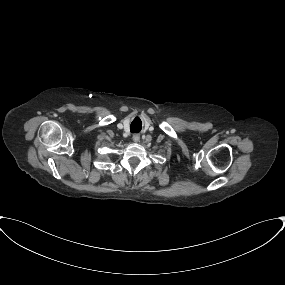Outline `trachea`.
Instances as JSON below:
<instances>
[{
  "label": "trachea",
  "mask_w": 285,
  "mask_h": 285,
  "mask_svg": "<svg viewBox=\"0 0 285 285\" xmlns=\"http://www.w3.org/2000/svg\"><path fill=\"white\" fill-rule=\"evenodd\" d=\"M141 128H142L141 120L139 118H135L131 123V128H130L131 132L138 133L140 132Z\"/></svg>",
  "instance_id": "3493384b"
}]
</instances>
